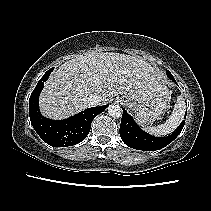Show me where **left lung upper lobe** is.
<instances>
[{
	"mask_svg": "<svg viewBox=\"0 0 211 211\" xmlns=\"http://www.w3.org/2000/svg\"><path fill=\"white\" fill-rule=\"evenodd\" d=\"M167 76L171 79V77L173 76L169 71H167Z\"/></svg>",
	"mask_w": 211,
	"mask_h": 211,
	"instance_id": "5c2ea615",
	"label": "left lung upper lobe"
}]
</instances>
